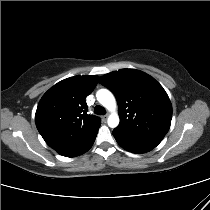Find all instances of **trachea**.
<instances>
[{"instance_id": "1", "label": "trachea", "mask_w": 210, "mask_h": 210, "mask_svg": "<svg viewBox=\"0 0 210 210\" xmlns=\"http://www.w3.org/2000/svg\"><path fill=\"white\" fill-rule=\"evenodd\" d=\"M94 113L97 114V115H105L106 114V110L102 106L97 105L94 108Z\"/></svg>"}]
</instances>
